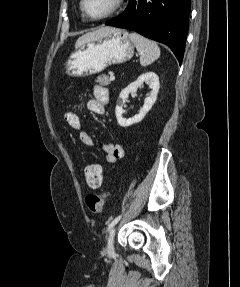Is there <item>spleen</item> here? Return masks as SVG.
<instances>
[{
	"mask_svg": "<svg viewBox=\"0 0 240 287\" xmlns=\"http://www.w3.org/2000/svg\"><path fill=\"white\" fill-rule=\"evenodd\" d=\"M129 38L136 46L142 66H148L159 58L160 48L156 42L135 32L130 33Z\"/></svg>",
	"mask_w": 240,
	"mask_h": 287,
	"instance_id": "obj_1",
	"label": "spleen"
}]
</instances>
